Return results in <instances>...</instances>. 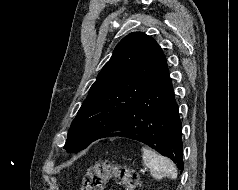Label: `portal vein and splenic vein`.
<instances>
[{
  "label": "portal vein and splenic vein",
  "instance_id": "obj_1",
  "mask_svg": "<svg viewBox=\"0 0 238 190\" xmlns=\"http://www.w3.org/2000/svg\"><path fill=\"white\" fill-rule=\"evenodd\" d=\"M145 170H146V169H141L140 171H141L142 173H145Z\"/></svg>",
  "mask_w": 238,
  "mask_h": 190
}]
</instances>
